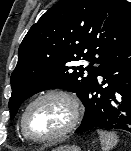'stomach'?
Instances as JSON below:
<instances>
[{
    "label": "stomach",
    "instance_id": "1",
    "mask_svg": "<svg viewBox=\"0 0 131 151\" xmlns=\"http://www.w3.org/2000/svg\"><path fill=\"white\" fill-rule=\"evenodd\" d=\"M52 151H81V148L75 145L72 146L66 145V146L55 148Z\"/></svg>",
    "mask_w": 131,
    "mask_h": 151
}]
</instances>
